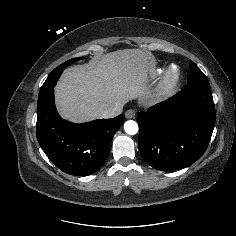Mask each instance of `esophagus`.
I'll return each mask as SVG.
<instances>
[{"instance_id": "obj_1", "label": "esophagus", "mask_w": 236, "mask_h": 236, "mask_svg": "<svg viewBox=\"0 0 236 236\" xmlns=\"http://www.w3.org/2000/svg\"><path fill=\"white\" fill-rule=\"evenodd\" d=\"M135 111L133 109H129L126 111L125 115H126V118L128 119H131V118H134L135 117Z\"/></svg>"}]
</instances>
